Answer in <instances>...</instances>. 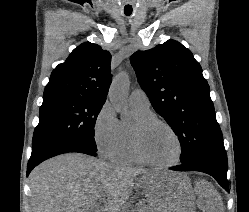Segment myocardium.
I'll return each mask as SVG.
<instances>
[{
	"label": "myocardium",
	"instance_id": "f54148a6",
	"mask_svg": "<svg viewBox=\"0 0 249 212\" xmlns=\"http://www.w3.org/2000/svg\"><path fill=\"white\" fill-rule=\"evenodd\" d=\"M160 125L166 130H168L176 139L179 146L178 157L174 162L171 163H157L148 158V156L144 153L142 144H141V136L142 133L148 128ZM130 138L132 143V148L136 158L140 161V163L158 169H168L173 168L179 165L184 156V145L181 137L176 132V130L166 121L161 120L155 116H150L146 118L138 119L130 128Z\"/></svg>",
	"mask_w": 249,
	"mask_h": 212
}]
</instances>
